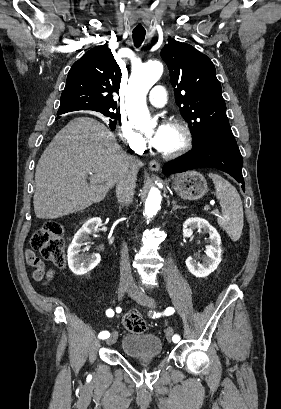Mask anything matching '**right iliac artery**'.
I'll return each mask as SVG.
<instances>
[{
    "mask_svg": "<svg viewBox=\"0 0 281 409\" xmlns=\"http://www.w3.org/2000/svg\"><path fill=\"white\" fill-rule=\"evenodd\" d=\"M106 315H107L108 317H112V316L114 315V311H113L112 309H108V310L106 311ZM109 336H110V333H109L108 331H102V332L99 334V338H101V339H107V338H109Z\"/></svg>",
    "mask_w": 281,
    "mask_h": 409,
    "instance_id": "1",
    "label": "right iliac artery"
}]
</instances>
